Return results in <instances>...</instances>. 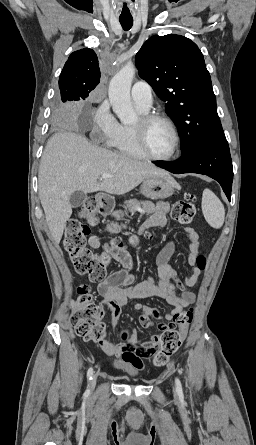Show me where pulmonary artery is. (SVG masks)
<instances>
[{
	"label": "pulmonary artery",
	"instance_id": "1",
	"mask_svg": "<svg viewBox=\"0 0 256 445\" xmlns=\"http://www.w3.org/2000/svg\"><path fill=\"white\" fill-rule=\"evenodd\" d=\"M131 98L135 106L148 111L153 103L152 91L146 82H136L131 89Z\"/></svg>",
	"mask_w": 256,
	"mask_h": 445
}]
</instances>
